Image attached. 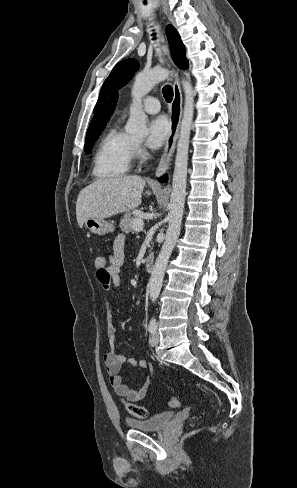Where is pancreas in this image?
<instances>
[{"label":"pancreas","instance_id":"1","mask_svg":"<svg viewBox=\"0 0 297 488\" xmlns=\"http://www.w3.org/2000/svg\"><path fill=\"white\" fill-rule=\"evenodd\" d=\"M135 218L138 214H141L140 211H136L133 213ZM132 217V215L130 213H126L124 215V217L121 219V222H120V228L123 232L125 233H129V232H133L134 231V228H133V220L135 219Z\"/></svg>","mask_w":297,"mask_h":488}]
</instances>
